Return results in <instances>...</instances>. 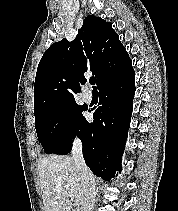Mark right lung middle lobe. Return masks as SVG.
I'll list each match as a JSON object with an SVG mask.
<instances>
[{
  "instance_id": "right-lung-middle-lobe-1",
  "label": "right lung middle lobe",
  "mask_w": 178,
  "mask_h": 211,
  "mask_svg": "<svg viewBox=\"0 0 178 211\" xmlns=\"http://www.w3.org/2000/svg\"><path fill=\"white\" fill-rule=\"evenodd\" d=\"M83 106L75 100L50 105L35 113L36 132L47 154L70 142L85 121Z\"/></svg>"
}]
</instances>
